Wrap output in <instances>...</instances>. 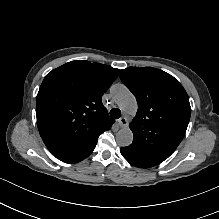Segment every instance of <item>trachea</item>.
I'll return each mask as SVG.
<instances>
[{
  "label": "trachea",
  "mask_w": 219,
  "mask_h": 219,
  "mask_svg": "<svg viewBox=\"0 0 219 219\" xmlns=\"http://www.w3.org/2000/svg\"><path fill=\"white\" fill-rule=\"evenodd\" d=\"M110 116L113 119H118L121 116V111L118 108H112L110 111Z\"/></svg>",
  "instance_id": "trachea-1"
}]
</instances>
